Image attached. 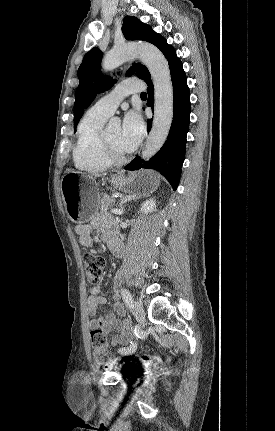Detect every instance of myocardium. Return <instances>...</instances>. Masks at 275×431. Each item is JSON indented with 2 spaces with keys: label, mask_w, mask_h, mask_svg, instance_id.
Returning <instances> with one entry per match:
<instances>
[{
  "label": "myocardium",
  "mask_w": 275,
  "mask_h": 431,
  "mask_svg": "<svg viewBox=\"0 0 275 431\" xmlns=\"http://www.w3.org/2000/svg\"><path fill=\"white\" fill-rule=\"evenodd\" d=\"M101 142L103 154L111 164H123L129 159L128 154H119L114 150L107 139L106 131L102 132Z\"/></svg>",
  "instance_id": "f54148a6"
}]
</instances>
